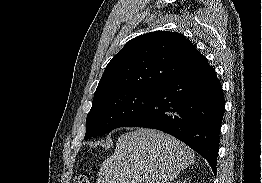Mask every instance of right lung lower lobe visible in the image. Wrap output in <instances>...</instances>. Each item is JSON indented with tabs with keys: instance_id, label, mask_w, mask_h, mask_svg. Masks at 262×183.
<instances>
[{
	"instance_id": "right-lung-lower-lobe-1",
	"label": "right lung lower lobe",
	"mask_w": 262,
	"mask_h": 183,
	"mask_svg": "<svg viewBox=\"0 0 262 183\" xmlns=\"http://www.w3.org/2000/svg\"><path fill=\"white\" fill-rule=\"evenodd\" d=\"M225 100L208 63L163 84L150 104L124 127H146L175 136L204 157L216 174Z\"/></svg>"
}]
</instances>
